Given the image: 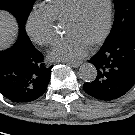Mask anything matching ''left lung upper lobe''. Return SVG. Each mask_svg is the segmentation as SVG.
<instances>
[{"instance_id":"1","label":"left lung upper lobe","mask_w":135,"mask_h":135,"mask_svg":"<svg viewBox=\"0 0 135 135\" xmlns=\"http://www.w3.org/2000/svg\"><path fill=\"white\" fill-rule=\"evenodd\" d=\"M115 21L106 42L123 38L135 29V0H113Z\"/></svg>"}]
</instances>
